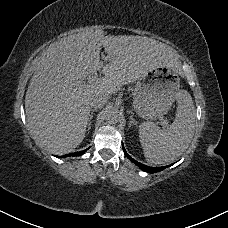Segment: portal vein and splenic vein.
<instances>
[{"mask_svg": "<svg viewBox=\"0 0 228 228\" xmlns=\"http://www.w3.org/2000/svg\"><path fill=\"white\" fill-rule=\"evenodd\" d=\"M103 59H104L105 61H107V58H106V57H104ZM97 77H98V76H97V73H96V74H94V75L89 79V81H90V82H93V81H95V80L97 79ZM161 125H162V126H167V125H168V122H167L166 120H164V121L161 122Z\"/></svg>", "mask_w": 228, "mask_h": 228, "instance_id": "1", "label": "portal vein and splenic vein"}]
</instances>
